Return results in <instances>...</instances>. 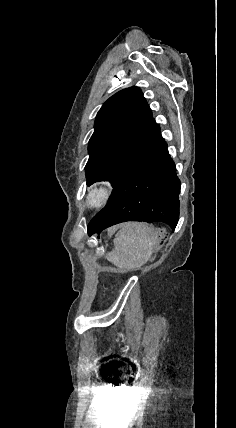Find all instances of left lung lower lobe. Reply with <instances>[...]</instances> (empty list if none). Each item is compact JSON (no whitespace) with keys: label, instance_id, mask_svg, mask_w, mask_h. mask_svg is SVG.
<instances>
[{"label":"left lung lower lobe","instance_id":"left-lung-lower-lobe-1","mask_svg":"<svg viewBox=\"0 0 236 428\" xmlns=\"http://www.w3.org/2000/svg\"><path fill=\"white\" fill-rule=\"evenodd\" d=\"M180 180L156 125L113 188L105 206L88 224V234L127 221L162 222L175 229Z\"/></svg>","mask_w":236,"mask_h":428}]
</instances>
